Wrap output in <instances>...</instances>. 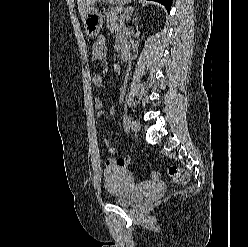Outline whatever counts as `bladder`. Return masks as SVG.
Here are the masks:
<instances>
[{"instance_id": "obj_1", "label": "bladder", "mask_w": 248, "mask_h": 247, "mask_svg": "<svg viewBox=\"0 0 248 247\" xmlns=\"http://www.w3.org/2000/svg\"><path fill=\"white\" fill-rule=\"evenodd\" d=\"M106 191L112 200L121 206H131L139 198L138 186L132 173L122 167H112L103 173Z\"/></svg>"}]
</instances>
